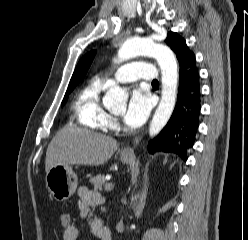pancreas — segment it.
<instances>
[{
    "instance_id": "pancreas-1",
    "label": "pancreas",
    "mask_w": 248,
    "mask_h": 240,
    "mask_svg": "<svg viewBox=\"0 0 248 240\" xmlns=\"http://www.w3.org/2000/svg\"><path fill=\"white\" fill-rule=\"evenodd\" d=\"M90 182L93 184L95 190H102V187L105 184V176L99 174V175H97L95 177H92L90 179Z\"/></svg>"
}]
</instances>
